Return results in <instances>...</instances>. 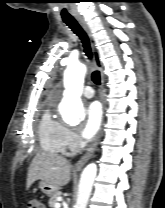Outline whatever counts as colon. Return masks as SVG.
Wrapping results in <instances>:
<instances>
[{
    "label": "colon",
    "instance_id": "obj_1",
    "mask_svg": "<svg viewBox=\"0 0 165 208\" xmlns=\"http://www.w3.org/2000/svg\"><path fill=\"white\" fill-rule=\"evenodd\" d=\"M28 208H43V206L40 201L33 199L29 201Z\"/></svg>",
    "mask_w": 165,
    "mask_h": 208
}]
</instances>
